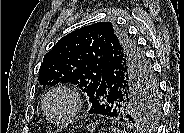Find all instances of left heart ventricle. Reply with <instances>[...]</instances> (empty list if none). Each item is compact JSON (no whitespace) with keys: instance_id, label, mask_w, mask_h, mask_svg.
<instances>
[{"instance_id":"left-heart-ventricle-1","label":"left heart ventricle","mask_w":184,"mask_h":133,"mask_svg":"<svg viewBox=\"0 0 184 133\" xmlns=\"http://www.w3.org/2000/svg\"><path fill=\"white\" fill-rule=\"evenodd\" d=\"M68 108V101L63 95H56L47 104V112L51 117L62 115Z\"/></svg>"}]
</instances>
